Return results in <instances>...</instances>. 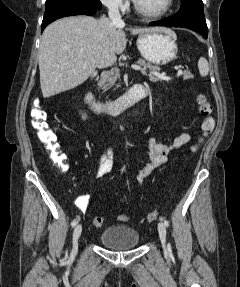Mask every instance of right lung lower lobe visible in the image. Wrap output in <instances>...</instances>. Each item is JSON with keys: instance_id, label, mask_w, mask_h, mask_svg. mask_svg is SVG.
<instances>
[{"instance_id": "right-lung-lower-lobe-1", "label": "right lung lower lobe", "mask_w": 240, "mask_h": 287, "mask_svg": "<svg viewBox=\"0 0 240 287\" xmlns=\"http://www.w3.org/2000/svg\"><path fill=\"white\" fill-rule=\"evenodd\" d=\"M101 9L99 0H46L41 32L51 22L72 15H93Z\"/></svg>"}]
</instances>
